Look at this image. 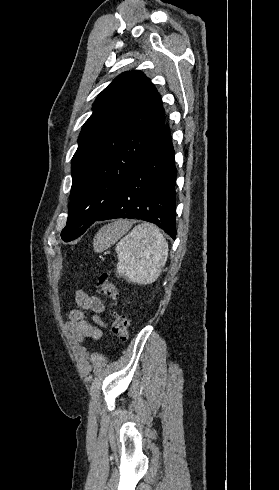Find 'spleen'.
I'll list each match as a JSON object with an SVG mask.
<instances>
[{
  "label": "spleen",
  "instance_id": "3e777b00",
  "mask_svg": "<svg viewBox=\"0 0 279 490\" xmlns=\"http://www.w3.org/2000/svg\"><path fill=\"white\" fill-rule=\"evenodd\" d=\"M132 224L126 220H118L99 230L95 244V252H105L112 244L118 242ZM118 264L117 276H125L135 284H153L167 262L168 244L159 228L154 224L143 222L135 226L125 238L117 244Z\"/></svg>",
  "mask_w": 279,
  "mask_h": 490
}]
</instances>
